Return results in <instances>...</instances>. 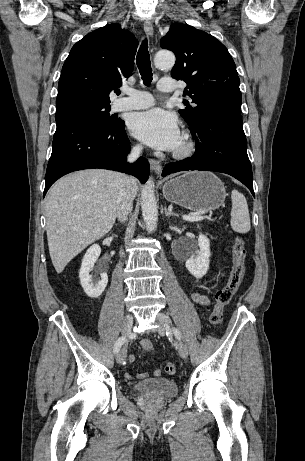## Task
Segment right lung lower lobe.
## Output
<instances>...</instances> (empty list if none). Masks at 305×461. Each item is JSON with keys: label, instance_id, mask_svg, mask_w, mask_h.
I'll return each instance as SVG.
<instances>
[{"label": "right lung lower lobe", "instance_id": "obj_1", "mask_svg": "<svg viewBox=\"0 0 305 461\" xmlns=\"http://www.w3.org/2000/svg\"><path fill=\"white\" fill-rule=\"evenodd\" d=\"M56 123L44 196L60 177L87 168L125 172L137 177L141 183L148 179L149 163L145 158L141 157L134 164L126 162L130 142L123 120L109 127L96 126L74 118L60 119Z\"/></svg>", "mask_w": 305, "mask_h": 461}]
</instances>
